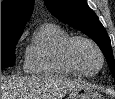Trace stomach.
<instances>
[{
  "instance_id": "obj_1",
  "label": "stomach",
  "mask_w": 115,
  "mask_h": 99,
  "mask_svg": "<svg viewBox=\"0 0 115 99\" xmlns=\"http://www.w3.org/2000/svg\"><path fill=\"white\" fill-rule=\"evenodd\" d=\"M68 99H101L100 95L91 87L83 86L73 90Z\"/></svg>"
}]
</instances>
